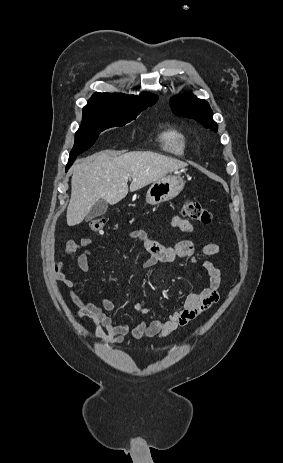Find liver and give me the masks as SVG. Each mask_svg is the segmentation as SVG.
Returning a JSON list of instances; mask_svg holds the SVG:
<instances>
[{
	"mask_svg": "<svg viewBox=\"0 0 283 463\" xmlns=\"http://www.w3.org/2000/svg\"><path fill=\"white\" fill-rule=\"evenodd\" d=\"M187 164L150 151L117 154L106 150L79 159L72 169L71 198L67 207V224H80L94 204L103 199L114 205L130 191H137Z\"/></svg>",
	"mask_w": 283,
	"mask_h": 463,
	"instance_id": "obj_1",
	"label": "liver"
}]
</instances>
